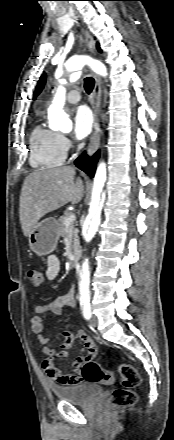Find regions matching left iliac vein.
<instances>
[{
	"label": "left iliac vein",
	"instance_id": "obj_1",
	"mask_svg": "<svg viewBox=\"0 0 174 440\" xmlns=\"http://www.w3.org/2000/svg\"><path fill=\"white\" fill-rule=\"evenodd\" d=\"M90 324L92 327H96L98 325V318L96 315H93L91 320H90Z\"/></svg>",
	"mask_w": 174,
	"mask_h": 440
}]
</instances>
